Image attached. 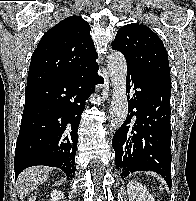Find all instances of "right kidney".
<instances>
[{
	"label": "right kidney",
	"instance_id": "1",
	"mask_svg": "<svg viewBox=\"0 0 196 201\" xmlns=\"http://www.w3.org/2000/svg\"><path fill=\"white\" fill-rule=\"evenodd\" d=\"M63 198H64L63 192L59 190H53V192L51 193V198L48 201H60Z\"/></svg>",
	"mask_w": 196,
	"mask_h": 201
}]
</instances>
